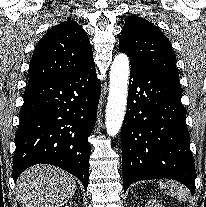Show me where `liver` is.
<instances>
[{"instance_id": "1", "label": "liver", "mask_w": 206, "mask_h": 207, "mask_svg": "<svg viewBox=\"0 0 206 207\" xmlns=\"http://www.w3.org/2000/svg\"><path fill=\"white\" fill-rule=\"evenodd\" d=\"M75 191V178L49 165L28 168L16 184L17 200L22 207H62Z\"/></svg>"}]
</instances>
